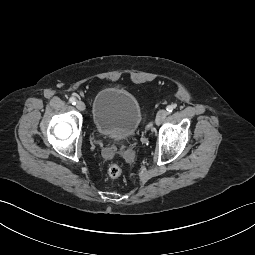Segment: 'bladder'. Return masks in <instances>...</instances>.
<instances>
[{"instance_id":"31cf9c89","label":"bladder","mask_w":255,"mask_h":255,"mask_svg":"<svg viewBox=\"0 0 255 255\" xmlns=\"http://www.w3.org/2000/svg\"><path fill=\"white\" fill-rule=\"evenodd\" d=\"M92 119L95 130L113 140L131 137L142 122L137 98L128 90L109 86L100 90L93 101Z\"/></svg>"}]
</instances>
